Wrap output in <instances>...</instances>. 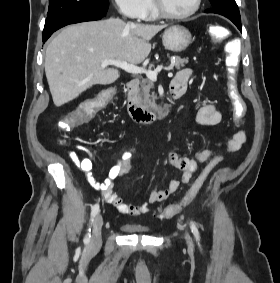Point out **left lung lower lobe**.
Wrapping results in <instances>:
<instances>
[{"mask_svg":"<svg viewBox=\"0 0 280 283\" xmlns=\"http://www.w3.org/2000/svg\"><path fill=\"white\" fill-rule=\"evenodd\" d=\"M239 30H241V22L237 21V20H231Z\"/></svg>","mask_w":280,"mask_h":283,"instance_id":"left-lung-lower-lobe-1","label":"left lung lower lobe"}]
</instances>
